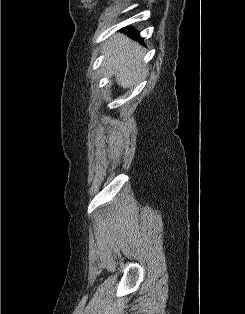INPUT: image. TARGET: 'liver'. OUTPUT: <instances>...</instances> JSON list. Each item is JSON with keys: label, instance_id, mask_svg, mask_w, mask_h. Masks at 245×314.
Returning a JSON list of instances; mask_svg holds the SVG:
<instances>
[{"label": "liver", "instance_id": "6515ba94", "mask_svg": "<svg viewBox=\"0 0 245 314\" xmlns=\"http://www.w3.org/2000/svg\"><path fill=\"white\" fill-rule=\"evenodd\" d=\"M106 54L104 67L108 74L115 76L119 86L124 89L134 86L144 77L146 67L142 63L143 48L123 34L114 35L103 44Z\"/></svg>", "mask_w": 245, "mask_h": 314}]
</instances>
